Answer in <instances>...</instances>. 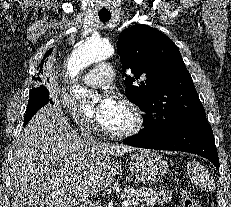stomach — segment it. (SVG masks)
Instances as JSON below:
<instances>
[{"mask_svg": "<svg viewBox=\"0 0 231 207\" xmlns=\"http://www.w3.org/2000/svg\"><path fill=\"white\" fill-rule=\"evenodd\" d=\"M129 169L143 184H157L169 173L168 163L159 154L148 149L132 154Z\"/></svg>", "mask_w": 231, "mask_h": 207, "instance_id": "obj_1", "label": "stomach"}]
</instances>
